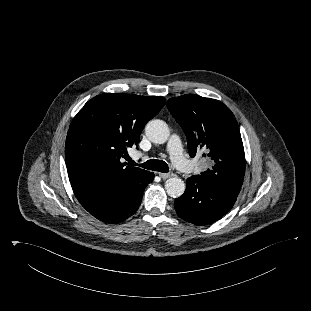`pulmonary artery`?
Returning a JSON list of instances; mask_svg holds the SVG:
<instances>
[{"mask_svg": "<svg viewBox=\"0 0 311 311\" xmlns=\"http://www.w3.org/2000/svg\"><path fill=\"white\" fill-rule=\"evenodd\" d=\"M167 150L170 154L173 164L179 170L189 173L194 169L192 163L184 156L181 140L178 135L173 134L170 137L167 144Z\"/></svg>", "mask_w": 311, "mask_h": 311, "instance_id": "e3ab8cb5", "label": "pulmonary artery"}]
</instances>
